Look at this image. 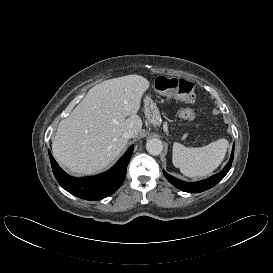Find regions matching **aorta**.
I'll use <instances>...</instances> for the list:
<instances>
[{
  "instance_id": "1",
  "label": "aorta",
  "mask_w": 273,
  "mask_h": 273,
  "mask_svg": "<svg viewBox=\"0 0 273 273\" xmlns=\"http://www.w3.org/2000/svg\"><path fill=\"white\" fill-rule=\"evenodd\" d=\"M146 149L151 155H160L163 151V143L157 138L149 139L146 143Z\"/></svg>"
}]
</instances>
